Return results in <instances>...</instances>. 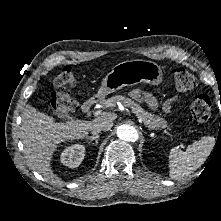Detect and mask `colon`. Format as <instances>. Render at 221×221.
Here are the masks:
<instances>
[{
    "label": "colon",
    "mask_w": 221,
    "mask_h": 221,
    "mask_svg": "<svg viewBox=\"0 0 221 221\" xmlns=\"http://www.w3.org/2000/svg\"><path fill=\"white\" fill-rule=\"evenodd\" d=\"M175 86L179 91L188 92L196 88V78L184 69H179L174 75ZM77 84L76 71L73 66H65L54 79L55 90L51 94V107L55 116L65 119L75 112L77 103L69 89ZM192 116L197 121H205L211 113V100L207 95H200L189 105Z\"/></svg>",
    "instance_id": "5ec220e1"
}]
</instances>
